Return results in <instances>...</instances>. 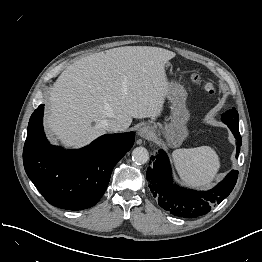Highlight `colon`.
Returning <instances> with one entry per match:
<instances>
[{"label": "colon", "mask_w": 262, "mask_h": 262, "mask_svg": "<svg viewBox=\"0 0 262 262\" xmlns=\"http://www.w3.org/2000/svg\"><path fill=\"white\" fill-rule=\"evenodd\" d=\"M193 81L198 84L201 85L205 90H207L209 93L215 95L216 94V90L214 88V86L211 83H206L203 82L200 78L199 75H194L193 76Z\"/></svg>", "instance_id": "1"}]
</instances>
